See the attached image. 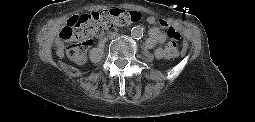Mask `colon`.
<instances>
[{"mask_svg": "<svg viewBox=\"0 0 255 122\" xmlns=\"http://www.w3.org/2000/svg\"><path fill=\"white\" fill-rule=\"evenodd\" d=\"M142 14L138 11H127L121 9H110L94 11L88 14L74 17L61 31V38L66 43L68 57L77 63L86 60L87 51L92 44V37L106 29L115 26H124L139 22ZM165 29L169 41L165 46L164 55L168 60H173L179 55L177 40L179 33L172 27L161 23Z\"/></svg>", "mask_w": 255, "mask_h": 122, "instance_id": "1", "label": "colon"}]
</instances>
